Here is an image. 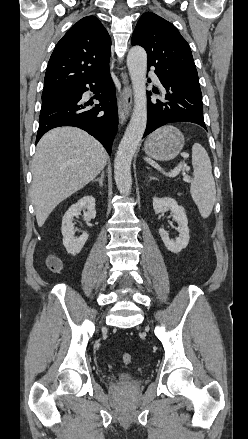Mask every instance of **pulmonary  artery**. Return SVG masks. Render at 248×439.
<instances>
[{
  "label": "pulmonary artery",
  "mask_w": 248,
  "mask_h": 439,
  "mask_svg": "<svg viewBox=\"0 0 248 439\" xmlns=\"http://www.w3.org/2000/svg\"><path fill=\"white\" fill-rule=\"evenodd\" d=\"M150 77L153 79V81L157 84H160L158 77L155 75L154 72L149 73Z\"/></svg>",
  "instance_id": "e3ab8cb5"
}]
</instances>
